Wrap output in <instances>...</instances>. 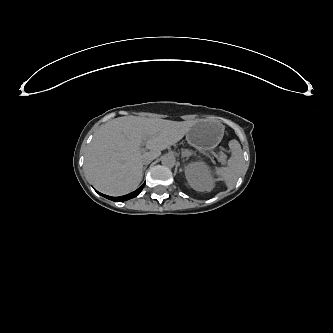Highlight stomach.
I'll list each match as a JSON object with an SVG mask.
<instances>
[{
	"mask_svg": "<svg viewBox=\"0 0 333 333\" xmlns=\"http://www.w3.org/2000/svg\"><path fill=\"white\" fill-rule=\"evenodd\" d=\"M187 141H188L190 144H196V143H197V142L195 141V139H194L192 136L187 137Z\"/></svg>",
	"mask_w": 333,
	"mask_h": 333,
	"instance_id": "obj_1",
	"label": "stomach"
}]
</instances>
